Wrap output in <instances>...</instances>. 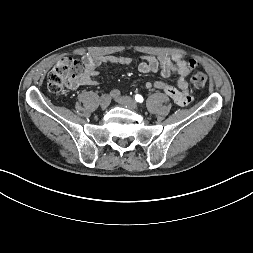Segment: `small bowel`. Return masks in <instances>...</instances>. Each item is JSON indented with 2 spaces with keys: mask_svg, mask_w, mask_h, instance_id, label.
<instances>
[{
  "mask_svg": "<svg viewBox=\"0 0 253 253\" xmlns=\"http://www.w3.org/2000/svg\"><path fill=\"white\" fill-rule=\"evenodd\" d=\"M132 58L128 56H115V55H89L83 57L85 65L84 73L71 85L76 88L79 86H92L96 84L95 77L99 74L96 69L102 64H118V65H130ZM194 67L192 61L184 59L180 55L173 56H144L142 61L138 65V69L142 73H155L159 72L164 78L169 77L171 74H176V87L169 85L168 83L157 80L154 82H146L145 88L148 90L157 89L162 90L168 95L175 103L190 107L194 103V98L189 93V85L186 80L187 75Z\"/></svg>",
  "mask_w": 253,
  "mask_h": 253,
  "instance_id": "small-bowel-1",
  "label": "small bowel"
}]
</instances>
